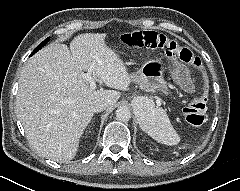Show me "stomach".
Segmentation results:
<instances>
[{
	"mask_svg": "<svg viewBox=\"0 0 240 191\" xmlns=\"http://www.w3.org/2000/svg\"><path fill=\"white\" fill-rule=\"evenodd\" d=\"M164 67L163 62L161 60H149L145 62L142 67L130 74L131 82L136 83L140 87L154 90L167 89V82L163 76ZM146 112V109L138 108L136 110V114L139 120V124L143 126V116Z\"/></svg>",
	"mask_w": 240,
	"mask_h": 191,
	"instance_id": "obj_1",
	"label": "stomach"
}]
</instances>
